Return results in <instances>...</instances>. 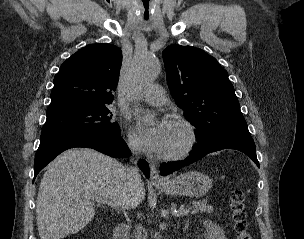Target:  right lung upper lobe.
Masks as SVG:
<instances>
[{
    "label": "right lung upper lobe",
    "mask_w": 304,
    "mask_h": 239,
    "mask_svg": "<svg viewBox=\"0 0 304 239\" xmlns=\"http://www.w3.org/2000/svg\"><path fill=\"white\" fill-rule=\"evenodd\" d=\"M122 64V51L111 44L82 48L63 62L54 78L47 115L111 104Z\"/></svg>",
    "instance_id": "right-lung-upper-lobe-1"
}]
</instances>
